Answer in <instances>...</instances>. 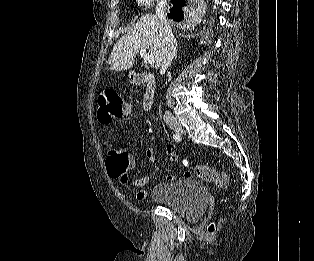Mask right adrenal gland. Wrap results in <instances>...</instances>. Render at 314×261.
<instances>
[{"label": "right adrenal gland", "instance_id": "1", "mask_svg": "<svg viewBox=\"0 0 314 261\" xmlns=\"http://www.w3.org/2000/svg\"><path fill=\"white\" fill-rule=\"evenodd\" d=\"M177 58V52H176V54H175V59Z\"/></svg>", "mask_w": 314, "mask_h": 261}]
</instances>
